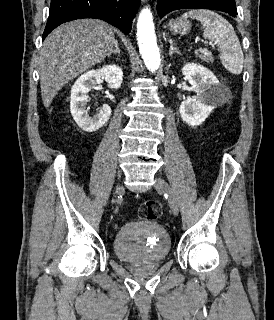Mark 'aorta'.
Instances as JSON below:
<instances>
[{
  "instance_id": "aorta-1",
  "label": "aorta",
  "mask_w": 274,
  "mask_h": 320,
  "mask_svg": "<svg viewBox=\"0 0 274 320\" xmlns=\"http://www.w3.org/2000/svg\"><path fill=\"white\" fill-rule=\"evenodd\" d=\"M137 41L140 54L149 71L154 72L160 66V52L157 45L154 22L150 9L144 8L137 20Z\"/></svg>"
}]
</instances>
